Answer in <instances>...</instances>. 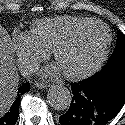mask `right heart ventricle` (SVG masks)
<instances>
[{
    "label": "right heart ventricle",
    "instance_id": "e07e8e85",
    "mask_svg": "<svg viewBox=\"0 0 125 125\" xmlns=\"http://www.w3.org/2000/svg\"><path fill=\"white\" fill-rule=\"evenodd\" d=\"M90 18L80 16H57L36 20L31 26V34L37 44L50 52L54 44L76 25Z\"/></svg>",
    "mask_w": 125,
    "mask_h": 125
}]
</instances>
